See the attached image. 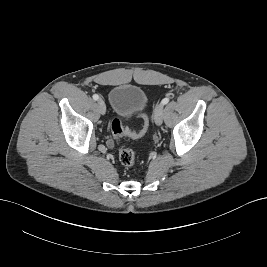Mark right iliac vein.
Segmentation results:
<instances>
[{
  "label": "right iliac vein",
  "mask_w": 267,
  "mask_h": 267,
  "mask_svg": "<svg viewBox=\"0 0 267 267\" xmlns=\"http://www.w3.org/2000/svg\"><path fill=\"white\" fill-rule=\"evenodd\" d=\"M97 103H98V109L100 113L104 115L106 112V106H105L104 101L102 99H99Z\"/></svg>",
  "instance_id": "63e3f726"
}]
</instances>
